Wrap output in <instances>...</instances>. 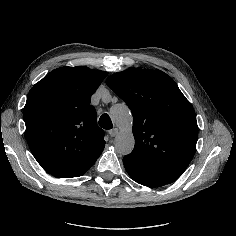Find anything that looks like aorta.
<instances>
[{
  "label": "aorta",
  "instance_id": "obj_1",
  "mask_svg": "<svg viewBox=\"0 0 236 236\" xmlns=\"http://www.w3.org/2000/svg\"><path fill=\"white\" fill-rule=\"evenodd\" d=\"M110 114L120 129L115 137V150L121 155H127L131 153L135 145L132 133L133 117L130 109L125 104H116L111 108Z\"/></svg>",
  "mask_w": 236,
  "mask_h": 236
}]
</instances>
